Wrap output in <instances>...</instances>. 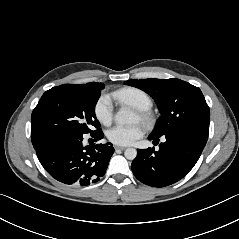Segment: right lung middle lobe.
I'll return each mask as SVG.
<instances>
[{
  "instance_id": "dd1d6c3e",
  "label": "right lung middle lobe",
  "mask_w": 239,
  "mask_h": 239,
  "mask_svg": "<svg viewBox=\"0 0 239 239\" xmlns=\"http://www.w3.org/2000/svg\"><path fill=\"white\" fill-rule=\"evenodd\" d=\"M103 88L101 84H63L46 91L31 116L34 148L56 133L92 134L100 130L95 105ZM92 126L96 130H91Z\"/></svg>"
}]
</instances>
